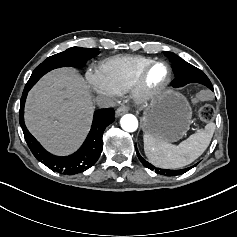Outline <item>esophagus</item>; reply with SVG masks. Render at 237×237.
<instances>
[{
  "label": "esophagus",
  "mask_w": 237,
  "mask_h": 237,
  "mask_svg": "<svg viewBox=\"0 0 237 237\" xmlns=\"http://www.w3.org/2000/svg\"><path fill=\"white\" fill-rule=\"evenodd\" d=\"M129 110V107L126 105H122L120 106L117 110H116V117H120L121 115H123L124 113H127Z\"/></svg>",
  "instance_id": "obj_1"
}]
</instances>
